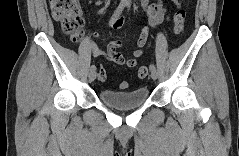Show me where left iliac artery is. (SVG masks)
<instances>
[{
	"label": "left iliac artery",
	"mask_w": 239,
	"mask_h": 156,
	"mask_svg": "<svg viewBox=\"0 0 239 156\" xmlns=\"http://www.w3.org/2000/svg\"><path fill=\"white\" fill-rule=\"evenodd\" d=\"M127 6L130 7L129 4H128ZM149 68H150V70H151V69H155V65H154V64H150Z\"/></svg>",
	"instance_id": "44dca946"
}]
</instances>
